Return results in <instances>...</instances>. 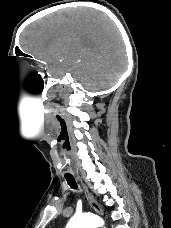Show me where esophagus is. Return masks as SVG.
I'll return each mask as SVG.
<instances>
[{
  "mask_svg": "<svg viewBox=\"0 0 171 228\" xmlns=\"http://www.w3.org/2000/svg\"><path fill=\"white\" fill-rule=\"evenodd\" d=\"M83 185V188L85 190V194H86V197H87V200L90 204V206L93 208V210L98 213V214H102L103 212V209L102 207L98 204V202L93 198L92 194L89 193L88 189L86 188V186L84 184Z\"/></svg>",
  "mask_w": 171,
  "mask_h": 228,
  "instance_id": "obj_1",
  "label": "esophagus"
}]
</instances>
